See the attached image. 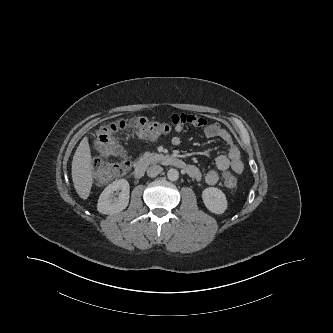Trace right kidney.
I'll list each match as a JSON object with an SVG mask.
<instances>
[{
  "instance_id": "1",
  "label": "right kidney",
  "mask_w": 333,
  "mask_h": 333,
  "mask_svg": "<svg viewBox=\"0 0 333 333\" xmlns=\"http://www.w3.org/2000/svg\"><path fill=\"white\" fill-rule=\"evenodd\" d=\"M129 193L130 186L127 180H115L101 193L97 210L102 214H114L123 211L129 203Z\"/></svg>"
}]
</instances>
